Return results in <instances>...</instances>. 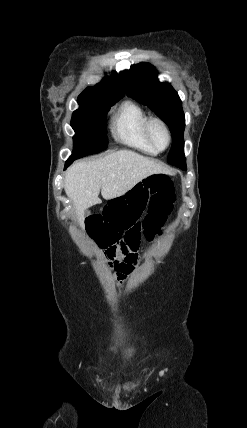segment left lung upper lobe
<instances>
[{
  "mask_svg": "<svg viewBox=\"0 0 247 428\" xmlns=\"http://www.w3.org/2000/svg\"><path fill=\"white\" fill-rule=\"evenodd\" d=\"M121 82L129 97L147 105L170 128L173 143L167 162L171 165L186 164L184 156L185 116L182 102L166 82H159L157 72L149 63L132 65L120 74Z\"/></svg>",
  "mask_w": 247,
  "mask_h": 428,
  "instance_id": "obj_1",
  "label": "left lung upper lobe"
}]
</instances>
